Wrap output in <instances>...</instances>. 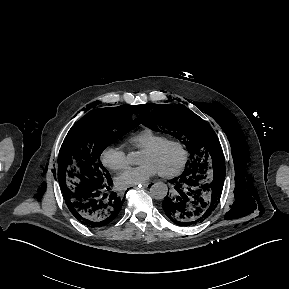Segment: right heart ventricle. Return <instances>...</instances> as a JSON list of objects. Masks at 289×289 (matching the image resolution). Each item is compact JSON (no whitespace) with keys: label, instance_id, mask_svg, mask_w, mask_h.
Masks as SVG:
<instances>
[{"label":"right heart ventricle","instance_id":"e07e8e85","mask_svg":"<svg viewBox=\"0 0 289 289\" xmlns=\"http://www.w3.org/2000/svg\"><path fill=\"white\" fill-rule=\"evenodd\" d=\"M166 138V136L157 133L151 128L146 127L130 134L127 137V142L131 144L134 148L145 149L161 142Z\"/></svg>","mask_w":289,"mask_h":289}]
</instances>
